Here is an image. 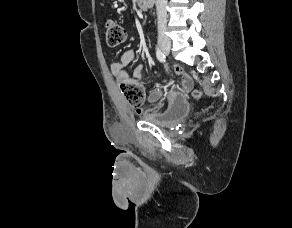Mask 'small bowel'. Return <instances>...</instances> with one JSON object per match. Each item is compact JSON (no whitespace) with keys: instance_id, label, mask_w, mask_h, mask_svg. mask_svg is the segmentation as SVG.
Instances as JSON below:
<instances>
[{"instance_id":"small-bowel-1","label":"small bowel","mask_w":292,"mask_h":228,"mask_svg":"<svg viewBox=\"0 0 292 228\" xmlns=\"http://www.w3.org/2000/svg\"><path fill=\"white\" fill-rule=\"evenodd\" d=\"M136 55L135 50H126L120 57L119 61L111 64V73L115 78H117V80L120 81L130 77L129 72L126 71V67L136 59ZM143 70L144 67L142 65H138L133 70V77L141 80L143 78ZM173 72L175 76H178L181 80L182 92L174 89L170 90L168 92L169 105H174L185 100L183 93L190 92L193 88L192 78L186 74L180 66L174 65ZM163 89L164 87L160 85L152 90L147 96V101L154 105L148 108H139L137 113L143 116L158 114L163 107L161 103H157L163 93Z\"/></svg>"}]
</instances>
